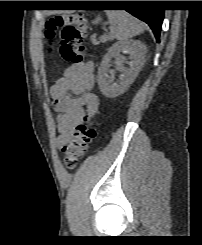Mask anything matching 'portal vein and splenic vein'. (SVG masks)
<instances>
[{
    "label": "portal vein and splenic vein",
    "instance_id": "1",
    "mask_svg": "<svg viewBox=\"0 0 202 245\" xmlns=\"http://www.w3.org/2000/svg\"><path fill=\"white\" fill-rule=\"evenodd\" d=\"M112 35V34H111ZM107 37V35H104V36H102V38H106Z\"/></svg>",
    "mask_w": 202,
    "mask_h": 245
}]
</instances>
